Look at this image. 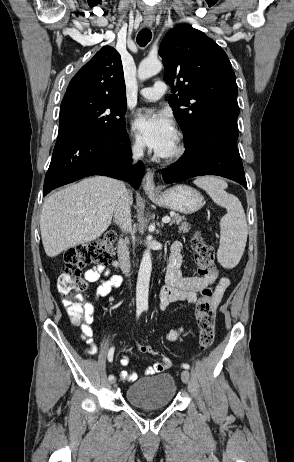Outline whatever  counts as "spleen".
<instances>
[{"label":"spleen","instance_id":"spleen-1","mask_svg":"<svg viewBox=\"0 0 294 462\" xmlns=\"http://www.w3.org/2000/svg\"><path fill=\"white\" fill-rule=\"evenodd\" d=\"M219 206L226 208L227 214L220 220V245L217 260L225 268L235 267L244 252L247 241V222L239 199L225 191L227 183L215 176H204L194 180Z\"/></svg>","mask_w":294,"mask_h":462}]
</instances>
